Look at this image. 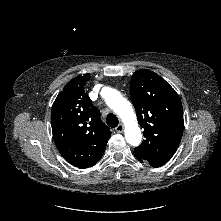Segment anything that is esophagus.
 Wrapping results in <instances>:
<instances>
[{
  "label": "esophagus",
  "instance_id": "obj_1",
  "mask_svg": "<svg viewBox=\"0 0 221 221\" xmlns=\"http://www.w3.org/2000/svg\"><path fill=\"white\" fill-rule=\"evenodd\" d=\"M117 133H122L124 131V125L123 124H119L116 128H115Z\"/></svg>",
  "mask_w": 221,
  "mask_h": 221
}]
</instances>
